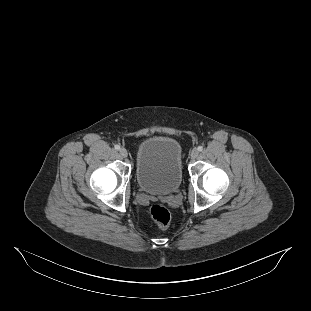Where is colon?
<instances>
[{
	"label": "colon",
	"instance_id": "obj_1",
	"mask_svg": "<svg viewBox=\"0 0 311 311\" xmlns=\"http://www.w3.org/2000/svg\"><path fill=\"white\" fill-rule=\"evenodd\" d=\"M149 213L152 220L159 228L165 229L168 227L171 220V214L166 207L160 204H154L150 207Z\"/></svg>",
	"mask_w": 311,
	"mask_h": 311
}]
</instances>
